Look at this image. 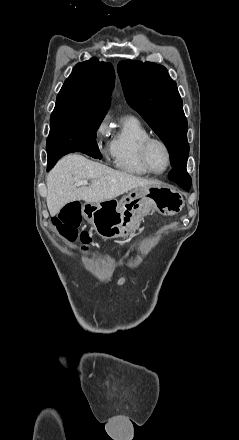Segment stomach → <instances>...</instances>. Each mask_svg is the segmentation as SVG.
Wrapping results in <instances>:
<instances>
[{"instance_id":"0dacf381","label":"stomach","mask_w":239,"mask_h":440,"mask_svg":"<svg viewBox=\"0 0 239 440\" xmlns=\"http://www.w3.org/2000/svg\"><path fill=\"white\" fill-rule=\"evenodd\" d=\"M183 196L166 188H135L121 200L86 202L81 208L82 216L104 240L128 238L136 232L144 216L156 210L162 216H175L184 208Z\"/></svg>"}]
</instances>
